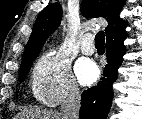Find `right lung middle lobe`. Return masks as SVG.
<instances>
[{"instance_id":"right-lung-middle-lobe-1","label":"right lung middle lobe","mask_w":142,"mask_h":119,"mask_svg":"<svg viewBox=\"0 0 142 119\" xmlns=\"http://www.w3.org/2000/svg\"><path fill=\"white\" fill-rule=\"evenodd\" d=\"M35 59V58H34ZM34 59H31L30 61H28L27 63L21 65V69H20V81H24L30 68H31V65L33 63V60Z\"/></svg>"}]
</instances>
